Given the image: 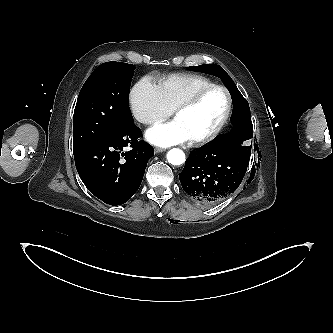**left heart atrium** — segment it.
<instances>
[{
    "mask_svg": "<svg viewBox=\"0 0 333 333\" xmlns=\"http://www.w3.org/2000/svg\"><path fill=\"white\" fill-rule=\"evenodd\" d=\"M146 138L154 145L168 147L189 141V137L177 120L157 124L146 132Z\"/></svg>",
    "mask_w": 333,
    "mask_h": 333,
    "instance_id": "obj_1",
    "label": "left heart atrium"
}]
</instances>
